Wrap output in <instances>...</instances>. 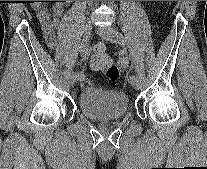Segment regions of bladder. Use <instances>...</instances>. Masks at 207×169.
Listing matches in <instances>:
<instances>
[{
    "label": "bladder",
    "instance_id": "1",
    "mask_svg": "<svg viewBox=\"0 0 207 169\" xmlns=\"http://www.w3.org/2000/svg\"><path fill=\"white\" fill-rule=\"evenodd\" d=\"M78 107L89 119L117 120L123 118L128 112L129 99L120 90L87 86L78 96Z\"/></svg>",
    "mask_w": 207,
    "mask_h": 169
}]
</instances>
